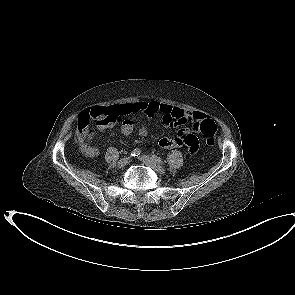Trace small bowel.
Here are the masks:
<instances>
[{"mask_svg": "<svg viewBox=\"0 0 295 295\" xmlns=\"http://www.w3.org/2000/svg\"><path fill=\"white\" fill-rule=\"evenodd\" d=\"M102 107V106H99ZM110 111V117L98 124L100 130L112 128L115 124V119L121 116H127L132 113H142L147 121L152 120L155 116L161 117L162 123L165 126L172 127L179 124H185L190 121H201L205 118V114L198 111H188L181 108L161 103L153 100L148 102H133L106 107ZM134 123L131 119H125L121 125V132L128 136L133 132ZM141 136L148 134L147 125L144 124L139 129ZM159 146L166 149H174L179 147H187L190 152L197 150L198 139L188 129H181L173 137H163L158 141ZM82 151L88 157H96L99 151L96 147L85 145Z\"/></svg>", "mask_w": 295, "mask_h": 295, "instance_id": "obj_1", "label": "small bowel"}]
</instances>
